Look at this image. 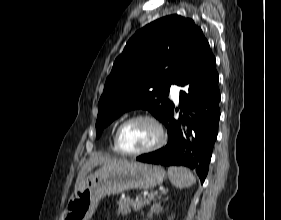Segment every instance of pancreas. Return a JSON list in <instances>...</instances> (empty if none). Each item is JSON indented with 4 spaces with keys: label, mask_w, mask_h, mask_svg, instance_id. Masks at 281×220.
<instances>
[{
    "label": "pancreas",
    "mask_w": 281,
    "mask_h": 220,
    "mask_svg": "<svg viewBox=\"0 0 281 220\" xmlns=\"http://www.w3.org/2000/svg\"><path fill=\"white\" fill-rule=\"evenodd\" d=\"M155 196H158V192H153L149 194L147 197L138 196L135 200L130 199L129 197H120L117 202L118 205V214H128L131 213L132 210L139 211L145 205L149 204L152 200H154Z\"/></svg>",
    "instance_id": "obj_1"
}]
</instances>
